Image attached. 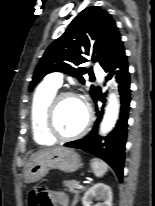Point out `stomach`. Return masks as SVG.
<instances>
[{"label": "stomach", "mask_w": 155, "mask_h": 206, "mask_svg": "<svg viewBox=\"0 0 155 206\" xmlns=\"http://www.w3.org/2000/svg\"><path fill=\"white\" fill-rule=\"evenodd\" d=\"M82 167L81 158L74 150L57 147L36 153L25 170V181L35 183L47 175L51 169L73 173Z\"/></svg>", "instance_id": "stomach-1"}]
</instances>
